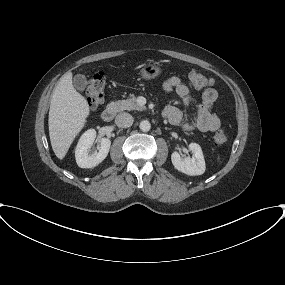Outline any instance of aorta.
Returning a JSON list of instances; mask_svg holds the SVG:
<instances>
[{"label": "aorta", "instance_id": "aorta-1", "mask_svg": "<svg viewBox=\"0 0 285 285\" xmlns=\"http://www.w3.org/2000/svg\"><path fill=\"white\" fill-rule=\"evenodd\" d=\"M139 127L143 132H148L151 129V124L148 120H143L140 122Z\"/></svg>", "mask_w": 285, "mask_h": 285}]
</instances>
